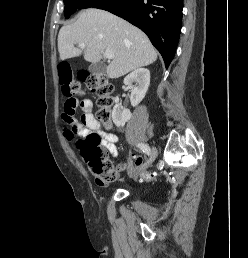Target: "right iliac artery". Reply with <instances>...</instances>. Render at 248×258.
I'll return each mask as SVG.
<instances>
[{
	"label": "right iliac artery",
	"instance_id": "1",
	"mask_svg": "<svg viewBox=\"0 0 248 258\" xmlns=\"http://www.w3.org/2000/svg\"><path fill=\"white\" fill-rule=\"evenodd\" d=\"M137 147L140 148L148 156L151 155V149H150V147L147 144L138 143Z\"/></svg>",
	"mask_w": 248,
	"mask_h": 258
}]
</instances>
